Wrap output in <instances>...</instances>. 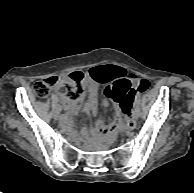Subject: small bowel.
I'll list each match as a JSON object with an SVG mask.
<instances>
[{
    "label": "small bowel",
    "instance_id": "obj_1",
    "mask_svg": "<svg viewBox=\"0 0 194 193\" xmlns=\"http://www.w3.org/2000/svg\"><path fill=\"white\" fill-rule=\"evenodd\" d=\"M122 74L125 75L120 68L100 66L90 69L83 82L86 93L83 111L96 117V122L92 127V131L98 134V143L100 144L109 143L113 139L115 132L122 127V110L117 108L116 117L113 124H105L100 118L97 117V90L100 84H110ZM57 92L63 97V94L60 92V88H58ZM103 105L107 107L108 102L105 101ZM64 107L68 111L69 115H74L80 108V101H70L64 99ZM63 122L64 127L68 131L74 130L75 124L72 121H67L64 119ZM86 132V129H84L81 134H75V137L77 139H82Z\"/></svg>",
    "mask_w": 194,
    "mask_h": 193
}]
</instances>
